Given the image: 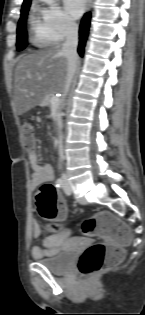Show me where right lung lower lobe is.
I'll return each mask as SVG.
<instances>
[{
    "instance_id": "98d812e1",
    "label": "right lung lower lobe",
    "mask_w": 145,
    "mask_h": 315,
    "mask_svg": "<svg viewBox=\"0 0 145 315\" xmlns=\"http://www.w3.org/2000/svg\"><path fill=\"white\" fill-rule=\"evenodd\" d=\"M90 13L84 15L82 19L80 29H79V46H78V53L83 56L85 43L88 37L89 25H90Z\"/></svg>"
}]
</instances>
